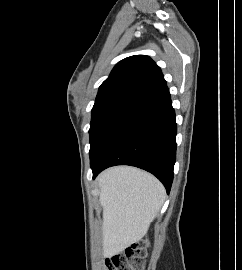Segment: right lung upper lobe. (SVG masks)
I'll use <instances>...</instances> for the list:
<instances>
[{"label":"right lung upper lobe","instance_id":"right-lung-upper-lobe-1","mask_svg":"<svg viewBox=\"0 0 242 270\" xmlns=\"http://www.w3.org/2000/svg\"><path fill=\"white\" fill-rule=\"evenodd\" d=\"M167 89L161 69L150 57L130 56L117 63L101 84L93 108L112 103L139 105Z\"/></svg>","mask_w":242,"mask_h":270}]
</instances>
